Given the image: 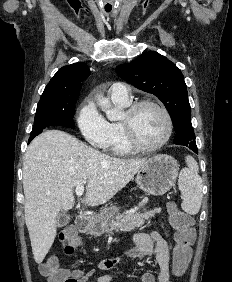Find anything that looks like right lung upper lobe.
Listing matches in <instances>:
<instances>
[{"label": "right lung upper lobe", "mask_w": 232, "mask_h": 282, "mask_svg": "<svg viewBox=\"0 0 232 282\" xmlns=\"http://www.w3.org/2000/svg\"><path fill=\"white\" fill-rule=\"evenodd\" d=\"M90 75L85 63L64 66L53 76L42 96H70L79 94L82 82Z\"/></svg>", "instance_id": "cb5924a9"}]
</instances>
